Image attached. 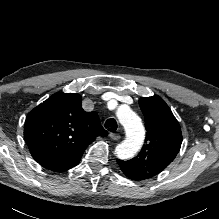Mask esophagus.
I'll list each match as a JSON object with an SVG mask.
<instances>
[{
	"mask_svg": "<svg viewBox=\"0 0 219 219\" xmlns=\"http://www.w3.org/2000/svg\"><path fill=\"white\" fill-rule=\"evenodd\" d=\"M109 137L115 141H117L121 138V136L118 133H114V132H110Z\"/></svg>",
	"mask_w": 219,
	"mask_h": 219,
	"instance_id": "obj_1",
	"label": "esophagus"
}]
</instances>
